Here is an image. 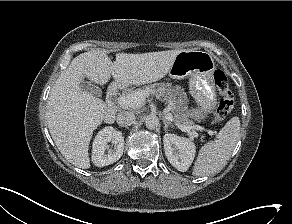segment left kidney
Instances as JSON below:
<instances>
[{
  "label": "left kidney",
  "instance_id": "1",
  "mask_svg": "<svg viewBox=\"0 0 292 224\" xmlns=\"http://www.w3.org/2000/svg\"><path fill=\"white\" fill-rule=\"evenodd\" d=\"M163 143L165 155L172 166L178 171H187L195 157V144L187 138L171 133L164 135Z\"/></svg>",
  "mask_w": 292,
  "mask_h": 224
}]
</instances>
